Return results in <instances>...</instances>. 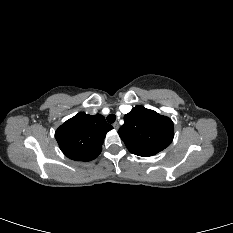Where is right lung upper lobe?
Segmentation results:
<instances>
[{"label":"right lung upper lobe","instance_id":"cb5924a9","mask_svg":"<svg viewBox=\"0 0 233 233\" xmlns=\"http://www.w3.org/2000/svg\"><path fill=\"white\" fill-rule=\"evenodd\" d=\"M113 127L100 115L80 112L55 132L61 151L75 161H91L98 157L106 133Z\"/></svg>","mask_w":233,"mask_h":233}]
</instances>
